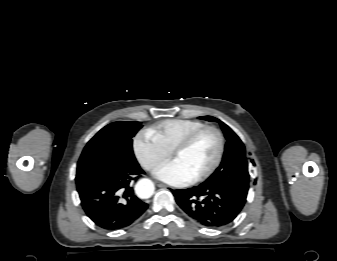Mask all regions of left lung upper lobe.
Masks as SVG:
<instances>
[{"mask_svg": "<svg viewBox=\"0 0 337 261\" xmlns=\"http://www.w3.org/2000/svg\"><path fill=\"white\" fill-rule=\"evenodd\" d=\"M200 118L219 122L227 139L220 166L202 185L224 187L246 201L249 188V173L246 151L242 141L234 131L222 121L211 116H203Z\"/></svg>", "mask_w": 337, "mask_h": 261, "instance_id": "1", "label": "left lung upper lobe"}]
</instances>
